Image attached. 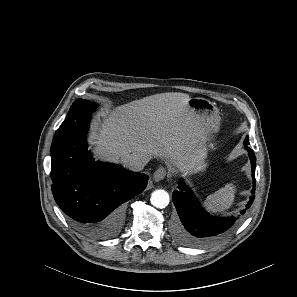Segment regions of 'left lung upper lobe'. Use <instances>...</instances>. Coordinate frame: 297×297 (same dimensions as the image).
<instances>
[{
	"instance_id": "left-lung-upper-lobe-1",
	"label": "left lung upper lobe",
	"mask_w": 297,
	"mask_h": 297,
	"mask_svg": "<svg viewBox=\"0 0 297 297\" xmlns=\"http://www.w3.org/2000/svg\"><path fill=\"white\" fill-rule=\"evenodd\" d=\"M248 144H249L248 137H246L245 140H244V146L248 147Z\"/></svg>"
}]
</instances>
